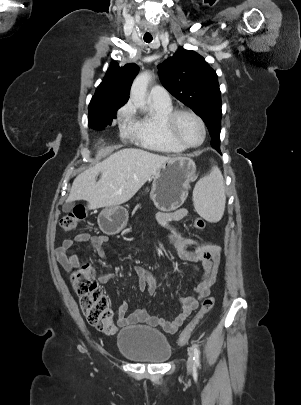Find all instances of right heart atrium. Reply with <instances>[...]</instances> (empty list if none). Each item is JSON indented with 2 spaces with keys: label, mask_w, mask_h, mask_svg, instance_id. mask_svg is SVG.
<instances>
[{
  "label": "right heart atrium",
  "mask_w": 301,
  "mask_h": 405,
  "mask_svg": "<svg viewBox=\"0 0 301 405\" xmlns=\"http://www.w3.org/2000/svg\"><path fill=\"white\" fill-rule=\"evenodd\" d=\"M134 114L135 112L132 104L130 102L126 103L119 109L117 113V119L119 124L122 127L129 126V124L133 120Z\"/></svg>",
  "instance_id": "obj_1"
}]
</instances>
